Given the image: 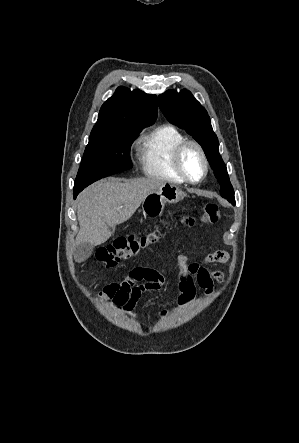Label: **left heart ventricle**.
Segmentation results:
<instances>
[{
  "mask_svg": "<svg viewBox=\"0 0 299 443\" xmlns=\"http://www.w3.org/2000/svg\"><path fill=\"white\" fill-rule=\"evenodd\" d=\"M183 165L190 178L198 179L201 177L203 163L195 148L190 147L186 150L183 156Z\"/></svg>",
  "mask_w": 299,
  "mask_h": 443,
  "instance_id": "obj_1",
  "label": "left heart ventricle"
}]
</instances>
